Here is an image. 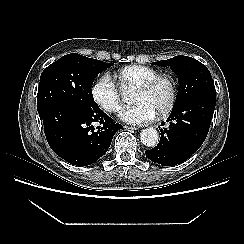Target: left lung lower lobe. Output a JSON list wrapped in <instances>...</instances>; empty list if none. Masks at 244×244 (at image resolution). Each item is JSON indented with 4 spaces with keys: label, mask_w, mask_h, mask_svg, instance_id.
<instances>
[{
    "label": "left lung lower lobe",
    "mask_w": 244,
    "mask_h": 244,
    "mask_svg": "<svg viewBox=\"0 0 244 244\" xmlns=\"http://www.w3.org/2000/svg\"><path fill=\"white\" fill-rule=\"evenodd\" d=\"M215 109V95L193 97L173 107L167 121H174L161 129L157 146L145 151L148 159L164 166H174L190 158L203 144Z\"/></svg>",
    "instance_id": "left-lung-lower-lobe-1"
}]
</instances>
